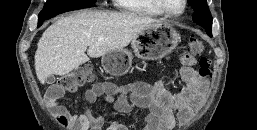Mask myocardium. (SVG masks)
Here are the masks:
<instances>
[{"instance_id":"1","label":"myocardium","mask_w":257,"mask_h":130,"mask_svg":"<svg viewBox=\"0 0 257 130\" xmlns=\"http://www.w3.org/2000/svg\"><path fill=\"white\" fill-rule=\"evenodd\" d=\"M153 4L156 6L157 9H159L163 14L169 16V17H177L184 13V11L187 8V0H183V6L182 9L179 12H171L165 8L161 0H152Z\"/></svg>"}]
</instances>
